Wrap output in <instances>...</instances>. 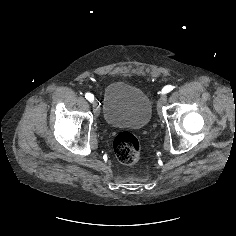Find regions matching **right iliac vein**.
<instances>
[{"label": "right iliac vein", "instance_id": "right-iliac-vein-1", "mask_svg": "<svg viewBox=\"0 0 236 236\" xmlns=\"http://www.w3.org/2000/svg\"><path fill=\"white\" fill-rule=\"evenodd\" d=\"M93 109H94L95 115H96V116H99V114H100V109H99V106H98V104H97L96 101L93 102Z\"/></svg>", "mask_w": 236, "mask_h": 236}]
</instances>
